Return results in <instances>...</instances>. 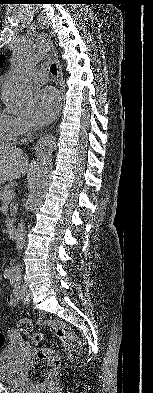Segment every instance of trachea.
<instances>
[{
	"instance_id": "trachea-1",
	"label": "trachea",
	"mask_w": 153,
	"mask_h": 393,
	"mask_svg": "<svg viewBox=\"0 0 153 393\" xmlns=\"http://www.w3.org/2000/svg\"><path fill=\"white\" fill-rule=\"evenodd\" d=\"M50 72H51L53 75H57V67H56V64H52V65L50 66Z\"/></svg>"
}]
</instances>
